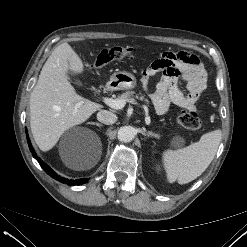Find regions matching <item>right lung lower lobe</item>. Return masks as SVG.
Instances as JSON below:
<instances>
[{"instance_id": "obj_1", "label": "right lung lower lobe", "mask_w": 247, "mask_h": 247, "mask_svg": "<svg viewBox=\"0 0 247 247\" xmlns=\"http://www.w3.org/2000/svg\"><path fill=\"white\" fill-rule=\"evenodd\" d=\"M26 136H27V142H28V146L30 151L32 152L33 157L39 162L40 166L43 168V170L49 174L52 178L62 182V183H66L68 185H80V184H84L88 181L87 178H83V179H77V180H69L66 179L64 177H61L60 175H58L56 172H54L48 165H46L43 161L40 160V158L36 155V153L34 152V149L30 143V139L28 138V134H27V130H26Z\"/></svg>"}]
</instances>
